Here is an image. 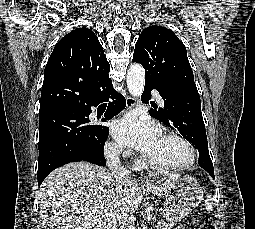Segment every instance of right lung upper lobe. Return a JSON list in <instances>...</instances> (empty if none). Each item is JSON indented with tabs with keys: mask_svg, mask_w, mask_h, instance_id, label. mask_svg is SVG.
<instances>
[{
	"mask_svg": "<svg viewBox=\"0 0 255 229\" xmlns=\"http://www.w3.org/2000/svg\"><path fill=\"white\" fill-rule=\"evenodd\" d=\"M110 65L97 36L82 27L54 47L44 70L40 115L87 104L112 85Z\"/></svg>",
	"mask_w": 255,
	"mask_h": 229,
	"instance_id": "1",
	"label": "right lung upper lobe"
}]
</instances>
